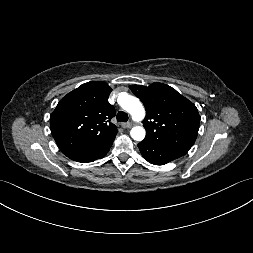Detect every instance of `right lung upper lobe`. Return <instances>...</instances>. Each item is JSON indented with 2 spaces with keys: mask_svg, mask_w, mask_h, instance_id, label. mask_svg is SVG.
<instances>
[{
  "mask_svg": "<svg viewBox=\"0 0 253 253\" xmlns=\"http://www.w3.org/2000/svg\"><path fill=\"white\" fill-rule=\"evenodd\" d=\"M111 87L103 81L87 82L63 97L50 116L51 133L67 157L102 143L117 134L109 104Z\"/></svg>",
  "mask_w": 253,
  "mask_h": 253,
  "instance_id": "obj_1",
  "label": "right lung upper lobe"
}]
</instances>
